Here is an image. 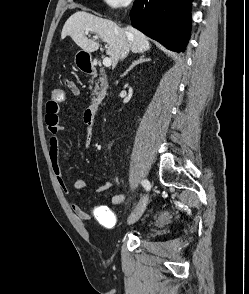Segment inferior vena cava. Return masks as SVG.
Returning <instances> with one entry per match:
<instances>
[{
	"label": "inferior vena cava",
	"instance_id": "inferior-vena-cava-1",
	"mask_svg": "<svg viewBox=\"0 0 249 294\" xmlns=\"http://www.w3.org/2000/svg\"><path fill=\"white\" fill-rule=\"evenodd\" d=\"M130 51V45L129 44H126L124 47H123V50L121 52V55H120V60H123L126 58V56L128 55Z\"/></svg>",
	"mask_w": 249,
	"mask_h": 294
}]
</instances>
